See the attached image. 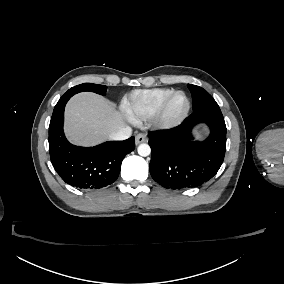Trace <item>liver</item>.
<instances>
[{"label": "liver", "mask_w": 284, "mask_h": 284, "mask_svg": "<svg viewBox=\"0 0 284 284\" xmlns=\"http://www.w3.org/2000/svg\"><path fill=\"white\" fill-rule=\"evenodd\" d=\"M66 123L70 139L80 143L102 141L122 126L115 106L93 93H81L70 100Z\"/></svg>", "instance_id": "obj_1"}]
</instances>
